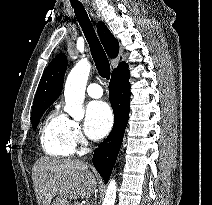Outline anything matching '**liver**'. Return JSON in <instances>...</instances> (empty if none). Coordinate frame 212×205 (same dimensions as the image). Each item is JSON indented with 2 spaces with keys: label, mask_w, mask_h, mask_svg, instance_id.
I'll return each instance as SVG.
<instances>
[{
  "label": "liver",
  "mask_w": 212,
  "mask_h": 205,
  "mask_svg": "<svg viewBox=\"0 0 212 205\" xmlns=\"http://www.w3.org/2000/svg\"><path fill=\"white\" fill-rule=\"evenodd\" d=\"M32 170L38 205H50L55 196L88 199L97 187L94 174L81 160L40 158Z\"/></svg>",
  "instance_id": "1"
}]
</instances>
